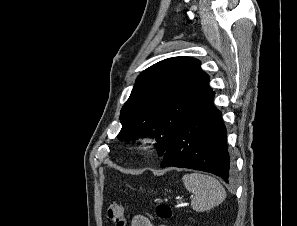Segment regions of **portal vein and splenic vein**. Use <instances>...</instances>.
Masks as SVG:
<instances>
[{
    "instance_id": "18ae733b",
    "label": "portal vein and splenic vein",
    "mask_w": 297,
    "mask_h": 226,
    "mask_svg": "<svg viewBox=\"0 0 297 226\" xmlns=\"http://www.w3.org/2000/svg\"><path fill=\"white\" fill-rule=\"evenodd\" d=\"M185 201L184 200H180V205H184Z\"/></svg>"
}]
</instances>
